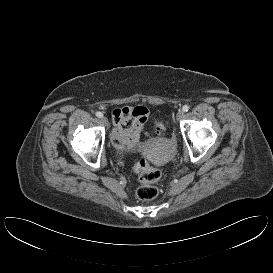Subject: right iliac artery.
Wrapping results in <instances>:
<instances>
[{"mask_svg": "<svg viewBox=\"0 0 273 273\" xmlns=\"http://www.w3.org/2000/svg\"><path fill=\"white\" fill-rule=\"evenodd\" d=\"M96 116L99 117V118H102L103 114L101 112H96Z\"/></svg>", "mask_w": 273, "mask_h": 273, "instance_id": "obj_1", "label": "right iliac artery"}]
</instances>
